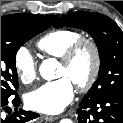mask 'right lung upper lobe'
<instances>
[{
	"label": "right lung upper lobe",
	"instance_id": "obj_1",
	"mask_svg": "<svg viewBox=\"0 0 123 123\" xmlns=\"http://www.w3.org/2000/svg\"><path fill=\"white\" fill-rule=\"evenodd\" d=\"M11 16L22 18V19H34L37 17H41V16H37V15H33V14H26V13L11 14V15H5V16H1V17H11ZM43 17H46L51 22V25L58 19V16H55V15L43 16Z\"/></svg>",
	"mask_w": 123,
	"mask_h": 123
}]
</instances>
